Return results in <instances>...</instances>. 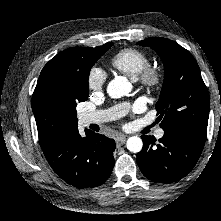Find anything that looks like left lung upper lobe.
<instances>
[{"mask_svg": "<svg viewBox=\"0 0 221 221\" xmlns=\"http://www.w3.org/2000/svg\"><path fill=\"white\" fill-rule=\"evenodd\" d=\"M138 44L154 49L164 64L163 87L156 103L161 128L205 141L210 100L194 57L166 38L150 37Z\"/></svg>", "mask_w": 221, "mask_h": 221, "instance_id": "obj_1", "label": "left lung upper lobe"}]
</instances>
